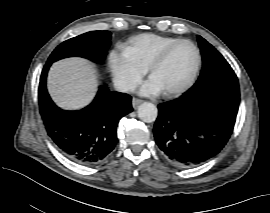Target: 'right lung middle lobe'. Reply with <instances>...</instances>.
Returning a JSON list of instances; mask_svg holds the SVG:
<instances>
[{"label": "right lung middle lobe", "mask_w": 270, "mask_h": 213, "mask_svg": "<svg viewBox=\"0 0 270 213\" xmlns=\"http://www.w3.org/2000/svg\"><path fill=\"white\" fill-rule=\"evenodd\" d=\"M109 31H91L61 43L50 55L47 63L66 57H83L100 63L104 60L110 46Z\"/></svg>", "instance_id": "obj_1"}]
</instances>
